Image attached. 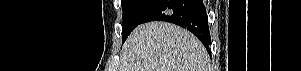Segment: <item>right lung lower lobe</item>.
<instances>
[{
	"label": "right lung lower lobe",
	"instance_id": "98d812e1",
	"mask_svg": "<svg viewBox=\"0 0 301 71\" xmlns=\"http://www.w3.org/2000/svg\"><path fill=\"white\" fill-rule=\"evenodd\" d=\"M149 21H166L188 29L210 52L208 17L202 0H156L140 24Z\"/></svg>",
	"mask_w": 301,
	"mask_h": 71
}]
</instances>
